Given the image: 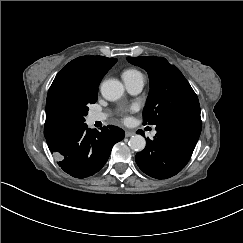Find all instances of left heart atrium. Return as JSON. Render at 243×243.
<instances>
[{"instance_id":"left-heart-atrium-1","label":"left heart atrium","mask_w":243,"mask_h":243,"mask_svg":"<svg viewBox=\"0 0 243 243\" xmlns=\"http://www.w3.org/2000/svg\"><path fill=\"white\" fill-rule=\"evenodd\" d=\"M138 106L136 104H131L128 106H123L117 110V114L121 117H128L129 114L137 111Z\"/></svg>"}]
</instances>
